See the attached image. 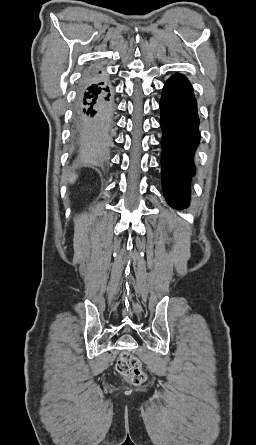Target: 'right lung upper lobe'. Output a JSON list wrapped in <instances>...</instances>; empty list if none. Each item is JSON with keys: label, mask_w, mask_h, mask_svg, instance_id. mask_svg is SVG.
<instances>
[{"label": "right lung upper lobe", "mask_w": 256, "mask_h": 445, "mask_svg": "<svg viewBox=\"0 0 256 445\" xmlns=\"http://www.w3.org/2000/svg\"><path fill=\"white\" fill-rule=\"evenodd\" d=\"M101 72H91L86 76V80L84 83H97L105 80V77L100 75Z\"/></svg>", "instance_id": "cb5924a9"}]
</instances>
